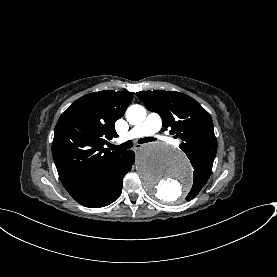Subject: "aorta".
Wrapping results in <instances>:
<instances>
[{"label": "aorta", "instance_id": "1", "mask_svg": "<svg viewBox=\"0 0 277 277\" xmlns=\"http://www.w3.org/2000/svg\"><path fill=\"white\" fill-rule=\"evenodd\" d=\"M132 125L141 124L146 110L132 105L126 112ZM137 173L148 194L161 202L174 203L192 187L193 178L186 155L164 143L145 145L136 161Z\"/></svg>", "mask_w": 277, "mask_h": 277}]
</instances>
